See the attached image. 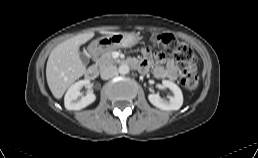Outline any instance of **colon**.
I'll return each instance as SVG.
<instances>
[{"instance_id":"5ec220e1","label":"colon","mask_w":258,"mask_h":158,"mask_svg":"<svg viewBox=\"0 0 258 158\" xmlns=\"http://www.w3.org/2000/svg\"><path fill=\"white\" fill-rule=\"evenodd\" d=\"M152 46L157 49H168L178 66L184 68V73L180 78L181 85L188 91H194L198 87V76L188 67H192L197 62V57L190 46L180 42L170 35H154L150 38Z\"/></svg>"}]
</instances>
